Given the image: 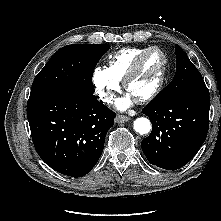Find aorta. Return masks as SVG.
<instances>
[{
  "mask_svg": "<svg viewBox=\"0 0 221 221\" xmlns=\"http://www.w3.org/2000/svg\"><path fill=\"white\" fill-rule=\"evenodd\" d=\"M134 130L139 134H147L150 132L151 123L147 118L140 117L134 121Z\"/></svg>",
  "mask_w": 221,
  "mask_h": 221,
  "instance_id": "obj_1",
  "label": "aorta"
}]
</instances>
